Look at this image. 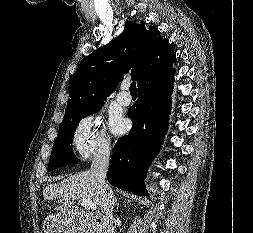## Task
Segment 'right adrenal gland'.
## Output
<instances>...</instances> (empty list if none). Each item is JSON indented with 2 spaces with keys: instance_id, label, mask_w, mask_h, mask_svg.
<instances>
[{
  "instance_id": "1",
  "label": "right adrenal gland",
  "mask_w": 253,
  "mask_h": 233,
  "mask_svg": "<svg viewBox=\"0 0 253 233\" xmlns=\"http://www.w3.org/2000/svg\"><path fill=\"white\" fill-rule=\"evenodd\" d=\"M116 205L118 206V202H117V198L115 197V198H114V201H113V208H114V206H116Z\"/></svg>"
}]
</instances>
